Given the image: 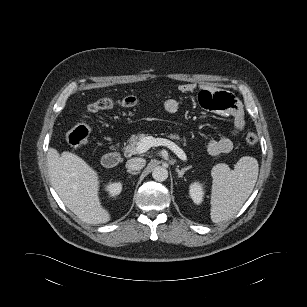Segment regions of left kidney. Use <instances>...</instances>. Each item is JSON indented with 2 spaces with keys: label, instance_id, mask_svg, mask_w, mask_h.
<instances>
[{
  "label": "left kidney",
  "instance_id": "obj_1",
  "mask_svg": "<svg viewBox=\"0 0 307 307\" xmlns=\"http://www.w3.org/2000/svg\"><path fill=\"white\" fill-rule=\"evenodd\" d=\"M189 193L194 203L200 204L202 202L204 191L201 183L194 182L193 184H191Z\"/></svg>",
  "mask_w": 307,
  "mask_h": 307
}]
</instances>
